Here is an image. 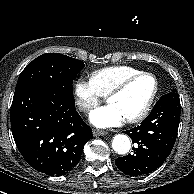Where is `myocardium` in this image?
I'll return each instance as SVG.
<instances>
[{
  "label": "myocardium",
  "instance_id": "1",
  "mask_svg": "<svg viewBox=\"0 0 194 194\" xmlns=\"http://www.w3.org/2000/svg\"><path fill=\"white\" fill-rule=\"evenodd\" d=\"M144 76H148V77H151L153 79L154 90H153L152 95L150 96L147 104L145 105L144 109L138 115H136L132 118L125 119V121L129 124H135V123L141 122L150 113V111L153 107V104L157 98L158 92H159V82H158L157 77L151 72L140 71L136 74H133L131 76L124 78L106 96V101L109 102V100L111 98L121 94L131 82H133L134 80H136L140 77H144Z\"/></svg>",
  "mask_w": 194,
  "mask_h": 194
}]
</instances>
